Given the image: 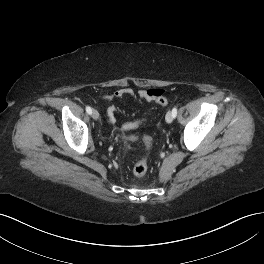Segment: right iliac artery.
Segmentation results:
<instances>
[{
	"label": "right iliac artery",
	"mask_w": 264,
	"mask_h": 264,
	"mask_svg": "<svg viewBox=\"0 0 264 264\" xmlns=\"http://www.w3.org/2000/svg\"><path fill=\"white\" fill-rule=\"evenodd\" d=\"M86 112H87L88 114H91V113H92V109H91V107L87 106V107H86Z\"/></svg>",
	"instance_id": "obj_1"
}]
</instances>
